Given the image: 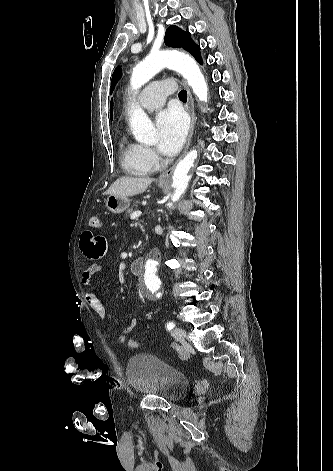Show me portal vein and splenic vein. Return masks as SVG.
I'll list each match as a JSON object with an SVG mask.
<instances>
[{"instance_id": "1", "label": "portal vein and splenic vein", "mask_w": 333, "mask_h": 471, "mask_svg": "<svg viewBox=\"0 0 333 471\" xmlns=\"http://www.w3.org/2000/svg\"><path fill=\"white\" fill-rule=\"evenodd\" d=\"M141 214H142L141 211H135V212H133V213L131 214L130 218H131V219H136V218H138Z\"/></svg>"}]
</instances>
